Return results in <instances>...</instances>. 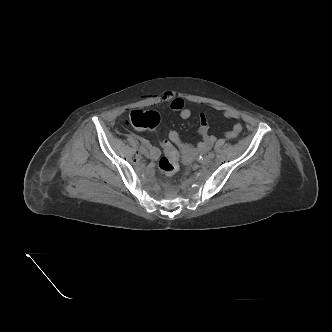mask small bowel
Returning <instances> with one entry per match:
<instances>
[{
    "label": "small bowel",
    "instance_id": "1",
    "mask_svg": "<svg viewBox=\"0 0 332 332\" xmlns=\"http://www.w3.org/2000/svg\"><path fill=\"white\" fill-rule=\"evenodd\" d=\"M162 101L169 102L170 108L177 112L181 119L187 120L191 117V110L186 106L185 100L173 92H165L162 97ZM212 108L216 111H219L224 118L226 119H239L240 114L238 111L224 106L214 105ZM242 131V125L240 123H236L233 125L230 131H228L225 136L227 138H236ZM198 132L202 137V141L199 142L196 147L186 144L183 142L181 135L177 131H171L168 135L169 140L174 143L176 146H178L184 153L189 154L194 149H197L199 151H205L208 150L213 143L215 142V137L211 134H209V123L207 116L204 113L200 114V123ZM149 157L155 159L159 155V150L156 147L150 146L148 144Z\"/></svg>",
    "mask_w": 332,
    "mask_h": 332
}]
</instances>
